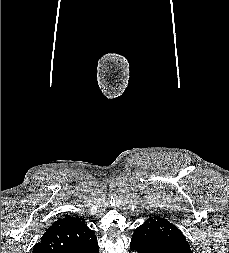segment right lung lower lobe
<instances>
[{
	"mask_svg": "<svg viewBox=\"0 0 229 253\" xmlns=\"http://www.w3.org/2000/svg\"><path fill=\"white\" fill-rule=\"evenodd\" d=\"M74 253H99L97 241L86 247L79 249Z\"/></svg>",
	"mask_w": 229,
	"mask_h": 253,
	"instance_id": "98d812e1",
	"label": "right lung lower lobe"
}]
</instances>
